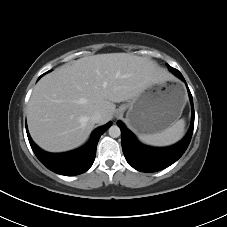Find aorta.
<instances>
[{"mask_svg": "<svg viewBox=\"0 0 227 227\" xmlns=\"http://www.w3.org/2000/svg\"><path fill=\"white\" fill-rule=\"evenodd\" d=\"M121 134V131H120V128L117 126V125H112L110 128H109V135L112 137V138H117L119 137Z\"/></svg>", "mask_w": 227, "mask_h": 227, "instance_id": "762f6f07", "label": "aorta"}]
</instances>
